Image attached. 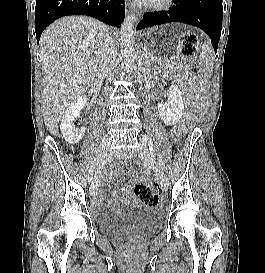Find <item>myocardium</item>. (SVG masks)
Instances as JSON below:
<instances>
[{"mask_svg": "<svg viewBox=\"0 0 265 273\" xmlns=\"http://www.w3.org/2000/svg\"><path fill=\"white\" fill-rule=\"evenodd\" d=\"M174 0H150L146 1V7L150 10L164 11L173 5Z\"/></svg>", "mask_w": 265, "mask_h": 273, "instance_id": "myocardium-1", "label": "myocardium"}]
</instances>
